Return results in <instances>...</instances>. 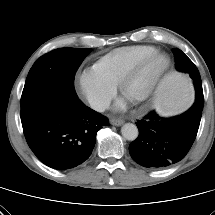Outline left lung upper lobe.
<instances>
[{"label":"left lung upper lobe","mask_w":215,"mask_h":215,"mask_svg":"<svg viewBox=\"0 0 215 215\" xmlns=\"http://www.w3.org/2000/svg\"><path fill=\"white\" fill-rule=\"evenodd\" d=\"M172 51L175 56L176 69L178 71L190 74L191 78L194 81L196 92H203L201 77L197 67L180 49L173 48Z\"/></svg>","instance_id":"obj_1"}]
</instances>
